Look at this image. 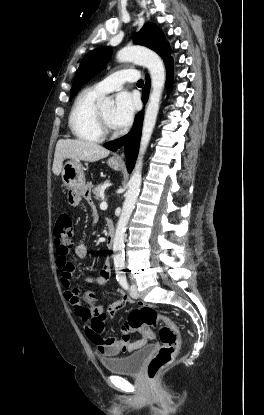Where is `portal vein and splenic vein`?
<instances>
[{"label":"portal vein and splenic vein","instance_id":"portal-vein-and-splenic-vein-1","mask_svg":"<svg viewBox=\"0 0 264 415\" xmlns=\"http://www.w3.org/2000/svg\"><path fill=\"white\" fill-rule=\"evenodd\" d=\"M107 206H108L107 205V202L106 201H102L101 204H100V209L101 210H105V209H107Z\"/></svg>","mask_w":264,"mask_h":415}]
</instances>
